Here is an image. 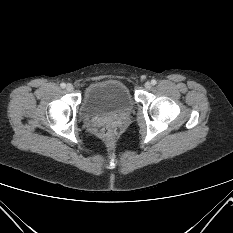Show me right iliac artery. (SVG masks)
Returning <instances> with one entry per match:
<instances>
[{
  "label": "right iliac artery",
  "mask_w": 233,
  "mask_h": 233,
  "mask_svg": "<svg viewBox=\"0 0 233 233\" xmlns=\"http://www.w3.org/2000/svg\"><path fill=\"white\" fill-rule=\"evenodd\" d=\"M61 88H65L66 87V84L65 83H61Z\"/></svg>",
  "instance_id": "82829eb1"
}]
</instances>
